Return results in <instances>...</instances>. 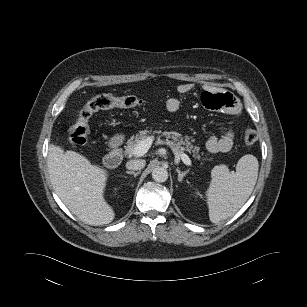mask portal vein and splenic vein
I'll use <instances>...</instances> for the list:
<instances>
[{
    "instance_id": "1",
    "label": "portal vein and splenic vein",
    "mask_w": 307,
    "mask_h": 307,
    "mask_svg": "<svg viewBox=\"0 0 307 307\" xmlns=\"http://www.w3.org/2000/svg\"><path fill=\"white\" fill-rule=\"evenodd\" d=\"M153 143V138L152 137H147L145 140H142L140 141L136 147L134 148V152L133 154L137 157H141L143 156L144 154L147 153V151L150 149L151 145ZM159 144H163V143H166L168 144L169 146H171L170 142H163V141H158ZM173 151L175 152L176 154V161H179L180 159L182 160V162L185 164V165H188L190 166L191 165V160L190 158L185 154V153H182V152H178L176 149L173 148Z\"/></svg>"
}]
</instances>
